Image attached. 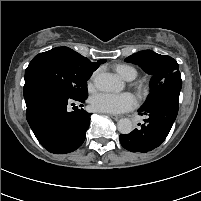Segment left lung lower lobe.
Wrapping results in <instances>:
<instances>
[{"label":"left lung lower lobe","instance_id":"obj_1","mask_svg":"<svg viewBox=\"0 0 201 201\" xmlns=\"http://www.w3.org/2000/svg\"><path fill=\"white\" fill-rule=\"evenodd\" d=\"M179 107V98L162 96L153 103L141 107L140 115L147 119L138 129L131 133L120 135L121 145L131 152H149L158 147L167 137L176 119Z\"/></svg>","mask_w":201,"mask_h":201}]
</instances>
